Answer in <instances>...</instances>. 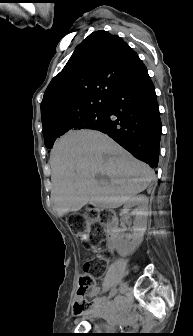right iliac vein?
<instances>
[{
  "label": "right iliac vein",
  "instance_id": "obj_1",
  "mask_svg": "<svg viewBox=\"0 0 193 336\" xmlns=\"http://www.w3.org/2000/svg\"><path fill=\"white\" fill-rule=\"evenodd\" d=\"M126 291H127V283H126V282H123V283L120 285L119 292H120L121 294H124Z\"/></svg>",
  "mask_w": 193,
  "mask_h": 336
}]
</instances>
